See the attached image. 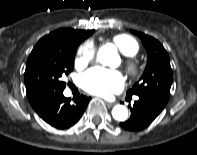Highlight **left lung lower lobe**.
I'll list each match as a JSON object with an SVG mask.
<instances>
[{"label": "left lung lower lobe", "mask_w": 197, "mask_h": 155, "mask_svg": "<svg viewBox=\"0 0 197 155\" xmlns=\"http://www.w3.org/2000/svg\"><path fill=\"white\" fill-rule=\"evenodd\" d=\"M131 98V96H127ZM165 105L143 96L130 107V119L120 123L121 127L129 131H138L147 127L163 110Z\"/></svg>", "instance_id": "0a47b994"}]
</instances>
